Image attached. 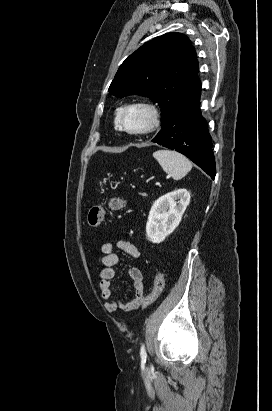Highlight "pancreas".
<instances>
[{
  "mask_svg": "<svg viewBox=\"0 0 272 411\" xmlns=\"http://www.w3.org/2000/svg\"><path fill=\"white\" fill-rule=\"evenodd\" d=\"M141 196H147L146 193H139Z\"/></svg>",
  "mask_w": 272,
  "mask_h": 411,
  "instance_id": "1",
  "label": "pancreas"
}]
</instances>
